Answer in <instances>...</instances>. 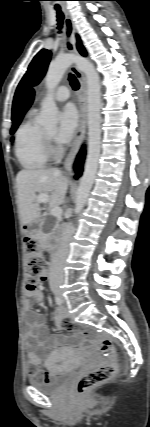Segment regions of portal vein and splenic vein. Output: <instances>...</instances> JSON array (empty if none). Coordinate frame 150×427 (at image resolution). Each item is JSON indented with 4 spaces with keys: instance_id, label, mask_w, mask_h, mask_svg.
<instances>
[{
    "instance_id": "18ae733b",
    "label": "portal vein and splenic vein",
    "mask_w": 150,
    "mask_h": 427,
    "mask_svg": "<svg viewBox=\"0 0 150 427\" xmlns=\"http://www.w3.org/2000/svg\"><path fill=\"white\" fill-rule=\"evenodd\" d=\"M37 201L39 203H47L48 202V195L45 193H41L37 196ZM51 215L60 218L62 215V209L60 207H54L51 210Z\"/></svg>"
}]
</instances>
